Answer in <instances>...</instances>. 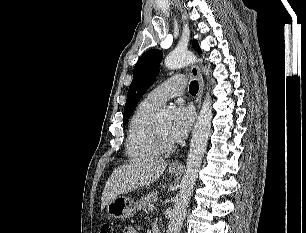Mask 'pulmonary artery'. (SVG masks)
Wrapping results in <instances>:
<instances>
[{"mask_svg": "<svg viewBox=\"0 0 306 233\" xmlns=\"http://www.w3.org/2000/svg\"><path fill=\"white\" fill-rule=\"evenodd\" d=\"M184 89L185 78L182 76H173L154 88L144 100L150 105L159 108L168 99L181 95Z\"/></svg>", "mask_w": 306, "mask_h": 233, "instance_id": "e3ab8cb5", "label": "pulmonary artery"}]
</instances>
